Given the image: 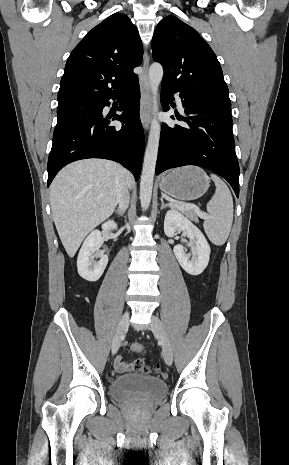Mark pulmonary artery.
<instances>
[{"mask_svg":"<svg viewBox=\"0 0 289 465\" xmlns=\"http://www.w3.org/2000/svg\"><path fill=\"white\" fill-rule=\"evenodd\" d=\"M176 101H177V104H178V107L180 108V110H183L182 99H181V97L179 96L178 93L176 94Z\"/></svg>","mask_w":289,"mask_h":465,"instance_id":"e3ab8cb5","label":"pulmonary artery"}]
</instances>
